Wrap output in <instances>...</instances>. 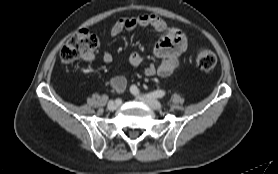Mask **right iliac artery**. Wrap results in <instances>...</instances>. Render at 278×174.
Wrapping results in <instances>:
<instances>
[{
    "mask_svg": "<svg viewBox=\"0 0 278 174\" xmlns=\"http://www.w3.org/2000/svg\"><path fill=\"white\" fill-rule=\"evenodd\" d=\"M118 104H121V100L120 99H116V101Z\"/></svg>",
    "mask_w": 278,
    "mask_h": 174,
    "instance_id": "right-iliac-artery-1",
    "label": "right iliac artery"
}]
</instances>
